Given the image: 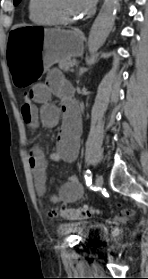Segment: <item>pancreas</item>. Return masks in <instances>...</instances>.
<instances>
[{
	"mask_svg": "<svg viewBox=\"0 0 148 279\" xmlns=\"http://www.w3.org/2000/svg\"><path fill=\"white\" fill-rule=\"evenodd\" d=\"M76 61L71 58L63 59L59 62V68L67 72Z\"/></svg>",
	"mask_w": 148,
	"mask_h": 279,
	"instance_id": "pancreas-1",
	"label": "pancreas"
}]
</instances>
